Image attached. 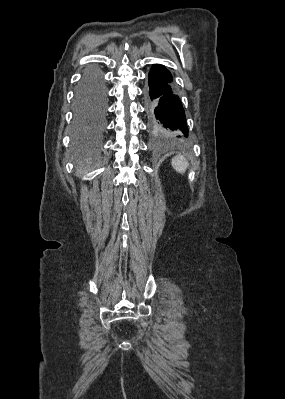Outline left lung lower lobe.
Masks as SVG:
<instances>
[{"label":"left lung lower lobe","instance_id":"0a47b994","mask_svg":"<svg viewBox=\"0 0 285 399\" xmlns=\"http://www.w3.org/2000/svg\"><path fill=\"white\" fill-rule=\"evenodd\" d=\"M146 108L153 135L158 139L185 140L188 137L185 112L172 86V75L154 64L148 75Z\"/></svg>","mask_w":285,"mask_h":399}]
</instances>
